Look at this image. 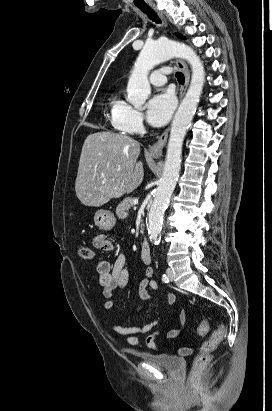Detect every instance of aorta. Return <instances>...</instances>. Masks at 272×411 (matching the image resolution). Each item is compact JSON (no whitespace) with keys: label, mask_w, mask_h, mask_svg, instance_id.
Segmentation results:
<instances>
[{"label":"aorta","mask_w":272,"mask_h":411,"mask_svg":"<svg viewBox=\"0 0 272 411\" xmlns=\"http://www.w3.org/2000/svg\"><path fill=\"white\" fill-rule=\"evenodd\" d=\"M181 57L191 66L192 77L189 89L182 100L171 125L163 175L148 213L147 229L150 240L155 244L163 225L164 212L169 204L179 177L182 145L186 131L196 112L205 82V70L194 50L184 43L169 39L147 42L141 50L127 85V100L140 109L151 89L148 73L155 65L172 57Z\"/></svg>","instance_id":"obj_1"}]
</instances>
